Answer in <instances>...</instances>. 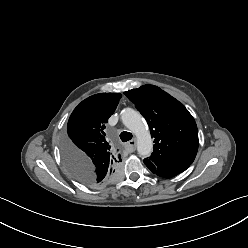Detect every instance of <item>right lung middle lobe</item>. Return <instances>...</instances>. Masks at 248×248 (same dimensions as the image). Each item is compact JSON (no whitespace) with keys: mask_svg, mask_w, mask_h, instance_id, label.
Returning <instances> with one entry per match:
<instances>
[{"mask_svg":"<svg viewBox=\"0 0 248 248\" xmlns=\"http://www.w3.org/2000/svg\"><path fill=\"white\" fill-rule=\"evenodd\" d=\"M68 147V143H65L63 146V150H66ZM67 167V166H66ZM67 169L69 170V172L80 182H82V178L85 175L84 171L82 169H80L79 167H75V169L69 168L67 167Z\"/></svg>","mask_w":248,"mask_h":248,"instance_id":"1","label":"right lung middle lobe"}]
</instances>
